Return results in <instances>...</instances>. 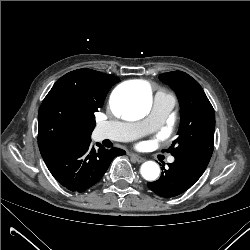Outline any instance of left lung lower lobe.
I'll return each mask as SVG.
<instances>
[{"label": "left lung lower lobe", "instance_id": "obj_1", "mask_svg": "<svg viewBox=\"0 0 250 250\" xmlns=\"http://www.w3.org/2000/svg\"><path fill=\"white\" fill-rule=\"evenodd\" d=\"M213 148L193 149L175 155V161L168 164L161 177L148 182V187L162 197H175L187 191L205 171Z\"/></svg>", "mask_w": 250, "mask_h": 250}]
</instances>
